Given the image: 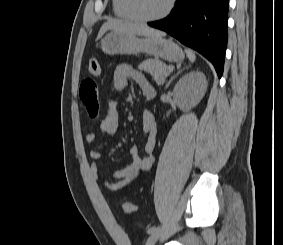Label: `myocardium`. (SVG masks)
<instances>
[{
  "label": "myocardium",
  "mask_w": 283,
  "mask_h": 245,
  "mask_svg": "<svg viewBox=\"0 0 283 245\" xmlns=\"http://www.w3.org/2000/svg\"><path fill=\"white\" fill-rule=\"evenodd\" d=\"M125 1H126V8L129 14L133 17V19L141 21V22H154V21L161 20L165 18L166 16H168L176 0H168L167 5L164 8V10L161 13L155 16H151V17H147V16H143L139 14L135 9L134 0H125Z\"/></svg>",
  "instance_id": "myocardium-1"
}]
</instances>
